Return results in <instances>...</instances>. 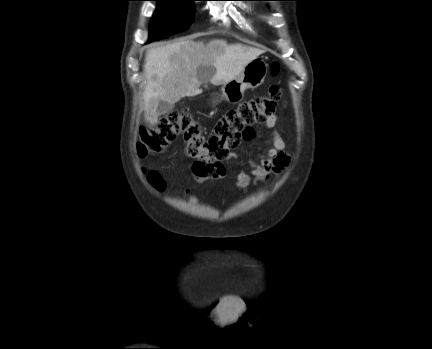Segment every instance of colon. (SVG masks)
Masks as SVG:
<instances>
[{
  "label": "colon",
  "mask_w": 432,
  "mask_h": 349,
  "mask_svg": "<svg viewBox=\"0 0 432 349\" xmlns=\"http://www.w3.org/2000/svg\"><path fill=\"white\" fill-rule=\"evenodd\" d=\"M278 71L279 65L274 63L271 72L276 75ZM280 97L279 88L271 86L265 96L245 101L227 111L217 121L213 134L207 139L203 136L200 122L189 111L171 112L157 126L141 129L137 142L138 155L145 158L160 153L178 136H182L188 156L197 159L208 169L222 168V161L229 156L230 150L242 139L253 137L252 126L273 115ZM149 177L157 188L164 186L158 174L150 173Z\"/></svg>",
  "instance_id": "colon-1"
}]
</instances>
